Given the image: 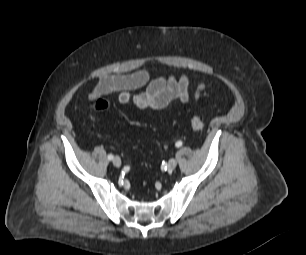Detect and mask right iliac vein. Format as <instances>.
I'll return each mask as SVG.
<instances>
[{"instance_id": "1", "label": "right iliac vein", "mask_w": 306, "mask_h": 255, "mask_svg": "<svg viewBox=\"0 0 306 255\" xmlns=\"http://www.w3.org/2000/svg\"><path fill=\"white\" fill-rule=\"evenodd\" d=\"M113 164H114V166H116V167H120V166H121V159H120V157L116 156V157L113 159Z\"/></svg>"}]
</instances>
